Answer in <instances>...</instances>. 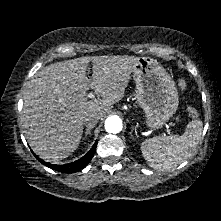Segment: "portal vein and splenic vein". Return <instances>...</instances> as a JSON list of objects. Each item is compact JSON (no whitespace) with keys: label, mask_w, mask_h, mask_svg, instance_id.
Instances as JSON below:
<instances>
[{"label":"portal vein and splenic vein","mask_w":221,"mask_h":221,"mask_svg":"<svg viewBox=\"0 0 221 221\" xmlns=\"http://www.w3.org/2000/svg\"><path fill=\"white\" fill-rule=\"evenodd\" d=\"M94 93L90 92L88 95H87V98H94Z\"/></svg>","instance_id":"portal-vein-and-splenic-vein-1"}]
</instances>
